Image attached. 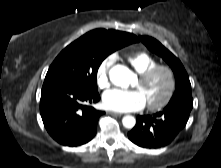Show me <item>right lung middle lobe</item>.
<instances>
[{
  "label": "right lung middle lobe",
  "mask_w": 221,
  "mask_h": 168,
  "mask_svg": "<svg viewBox=\"0 0 221 168\" xmlns=\"http://www.w3.org/2000/svg\"><path fill=\"white\" fill-rule=\"evenodd\" d=\"M130 42L122 38L88 32L68 45L51 64L45 81H60L97 90V71L112 52Z\"/></svg>",
  "instance_id": "1"
}]
</instances>
